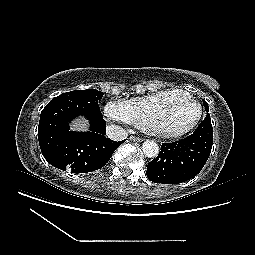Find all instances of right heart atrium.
<instances>
[{
    "instance_id": "obj_1",
    "label": "right heart atrium",
    "mask_w": 255,
    "mask_h": 255,
    "mask_svg": "<svg viewBox=\"0 0 255 255\" xmlns=\"http://www.w3.org/2000/svg\"><path fill=\"white\" fill-rule=\"evenodd\" d=\"M104 114L110 120L121 122L124 124H131L128 111L123 101H108L104 107Z\"/></svg>"
}]
</instances>
